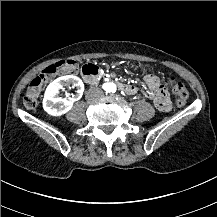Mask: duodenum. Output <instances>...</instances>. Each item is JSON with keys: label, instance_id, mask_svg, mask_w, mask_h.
Segmentation results:
<instances>
[{"label": "duodenum", "instance_id": "1", "mask_svg": "<svg viewBox=\"0 0 217 217\" xmlns=\"http://www.w3.org/2000/svg\"><path fill=\"white\" fill-rule=\"evenodd\" d=\"M83 80L88 84H94L99 74L98 66L94 64H85L81 70ZM118 88L126 94L132 95L136 92V87L129 84H118Z\"/></svg>", "mask_w": 217, "mask_h": 217}]
</instances>
